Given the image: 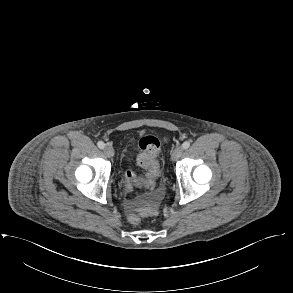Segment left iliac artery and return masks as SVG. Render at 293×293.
Wrapping results in <instances>:
<instances>
[{
  "mask_svg": "<svg viewBox=\"0 0 293 293\" xmlns=\"http://www.w3.org/2000/svg\"><path fill=\"white\" fill-rule=\"evenodd\" d=\"M189 146H190V142H189V141H185V142L182 144V148L185 149V150L188 149Z\"/></svg>",
  "mask_w": 293,
  "mask_h": 293,
  "instance_id": "1",
  "label": "left iliac artery"
}]
</instances>
